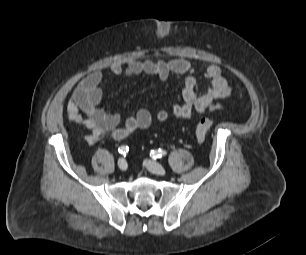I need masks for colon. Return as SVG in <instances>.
I'll return each mask as SVG.
<instances>
[{"label":"colon","mask_w":306,"mask_h":255,"mask_svg":"<svg viewBox=\"0 0 306 255\" xmlns=\"http://www.w3.org/2000/svg\"><path fill=\"white\" fill-rule=\"evenodd\" d=\"M212 127V121L207 118H201L195 126V135L198 139H204Z\"/></svg>","instance_id":"colon-1"}]
</instances>
